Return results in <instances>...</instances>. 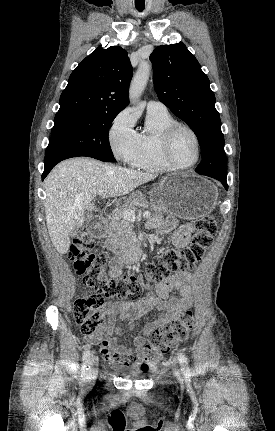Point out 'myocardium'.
Returning a JSON list of instances; mask_svg holds the SVG:
<instances>
[{
  "label": "myocardium",
  "mask_w": 275,
  "mask_h": 431,
  "mask_svg": "<svg viewBox=\"0 0 275 431\" xmlns=\"http://www.w3.org/2000/svg\"><path fill=\"white\" fill-rule=\"evenodd\" d=\"M180 130H186L188 131L194 141H195V146H196V157L195 160L188 164V165H181L179 163H177L175 161V159L172 156V144H173V140L175 135L180 131ZM161 154L163 159L165 160V162L170 165L172 168L177 169V170H187L190 169L192 167H194L200 160L201 157V142H200V138L198 136V134L196 133V131L189 125L185 124V123H180V122H176L174 124H172L171 126H169L163 133L162 138H161Z\"/></svg>",
  "instance_id": "1"
}]
</instances>
